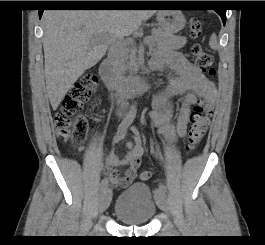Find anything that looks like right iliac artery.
I'll use <instances>...</instances> for the list:
<instances>
[{"label":"right iliac artery","mask_w":265,"mask_h":245,"mask_svg":"<svg viewBox=\"0 0 265 245\" xmlns=\"http://www.w3.org/2000/svg\"><path fill=\"white\" fill-rule=\"evenodd\" d=\"M135 116H136V108H135V106H132L130 108L129 112L124 117V119L119 124V126L117 128V132L125 131L129 127V125H131ZM107 186H108V180L106 178H104L100 183L101 191L105 190L107 188Z\"/></svg>","instance_id":"obj_1"}]
</instances>
